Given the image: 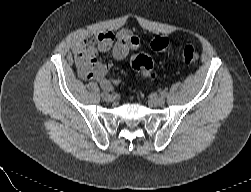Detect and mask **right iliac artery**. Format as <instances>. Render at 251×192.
<instances>
[{
  "label": "right iliac artery",
  "mask_w": 251,
  "mask_h": 192,
  "mask_svg": "<svg viewBox=\"0 0 251 192\" xmlns=\"http://www.w3.org/2000/svg\"><path fill=\"white\" fill-rule=\"evenodd\" d=\"M108 91H109L108 89H104V91L101 94L103 98H105L107 96Z\"/></svg>",
  "instance_id": "obj_1"
}]
</instances>
